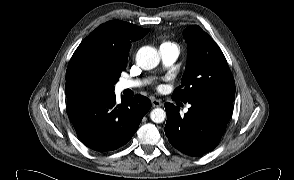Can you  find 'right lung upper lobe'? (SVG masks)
<instances>
[{
    "label": "right lung upper lobe",
    "mask_w": 294,
    "mask_h": 180,
    "mask_svg": "<svg viewBox=\"0 0 294 180\" xmlns=\"http://www.w3.org/2000/svg\"><path fill=\"white\" fill-rule=\"evenodd\" d=\"M148 32L149 29L124 21L112 20L106 22L97 27L81 42L68 66L86 55L114 59L127 65L131 42L141 39Z\"/></svg>",
    "instance_id": "cb5924a9"
}]
</instances>
